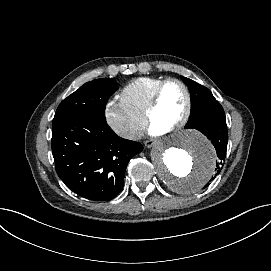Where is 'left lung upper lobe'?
I'll list each match as a JSON object with an SVG mask.
<instances>
[{"mask_svg": "<svg viewBox=\"0 0 271 271\" xmlns=\"http://www.w3.org/2000/svg\"><path fill=\"white\" fill-rule=\"evenodd\" d=\"M181 79L188 86L191 95V114L186 128L196 129L207 113L222 106L208 88L186 77L181 76Z\"/></svg>", "mask_w": 271, "mask_h": 271, "instance_id": "obj_1", "label": "left lung upper lobe"}]
</instances>
